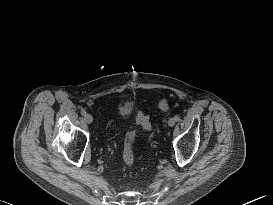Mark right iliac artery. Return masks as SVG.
<instances>
[{
    "instance_id": "right-iliac-artery-1",
    "label": "right iliac artery",
    "mask_w": 273,
    "mask_h": 205,
    "mask_svg": "<svg viewBox=\"0 0 273 205\" xmlns=\"http://www.w3.org/2000/svg\"><path fill=\"white\" fill-rule=\"evenodd\" d=\"M81 114H82L83 116H85L86 110L82 108V109H81Z\"/></svg>"
}]
</instances>
